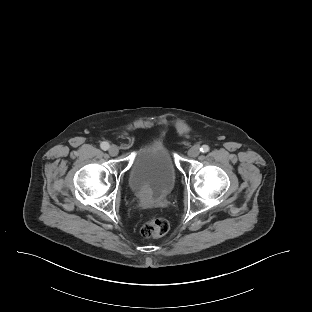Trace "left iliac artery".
Wrapping results in <instances>:
<instances>
[{"mask_svg": "<svg viewBox=\"0 0 312 312\" xmlns=\"http://www.w3.org/2000/svg\"><path fill=\"white\" fill-rule=\"evenodd\" d=\"M209 146L208 145H203L201 148H200V151L202 153H207L209 151Z\"/></svg>", "mask_w": 312, "mask_h": 312, "instance_id": "1", "label": "left iliac artery"}]
</instances>
